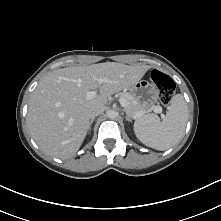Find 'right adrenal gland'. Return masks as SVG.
I'll use <instances>...</instances> for the list:
<instances>
[{
	"label": "right adrenal gland",
	"instance_id": "1",
	"mask_svg": "<svg viewBox=\"0 0 221 221\" xmlns=\"http://www.w3.org/2000/svg\"><path fill=\"white\" fill-rule=\"evenodd\" d=\"M94 120H95V117L92 118V119L90 120V123H89V130L91 129V125H92V123L94 122Z\"/></svg>",
	"mask_w": 221,
	"mask_h": 221
}]
</instances>
